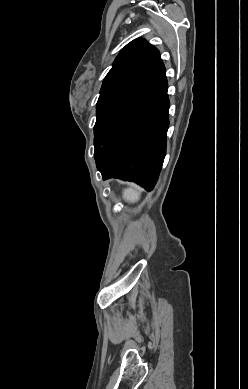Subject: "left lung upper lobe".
<instances>
[{
    "mask_svg": "<svg viewBox=\"0 0 248 389\" xmlns=\"http://www.w3.org/2000/svg\"><path fill=\"white\" fill-rule=\"evenodd\" d=\"M159 58V51L144 39H135L127 44L120 51L112 68L104 78L96 105L97 116ZM103 142L104 140L95 135V149Z\"/></svg>",
    "mask_w": 248,
    "mask_h": 389,
    "instance_id": "left-lung-upper-lobe-1",
    "label": "left lung upper lobe"
}]
</instances>
